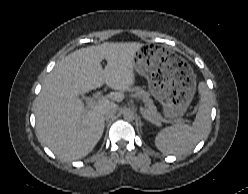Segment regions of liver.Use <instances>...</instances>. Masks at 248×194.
Returning <instances> with one entry per match:
<instances>
[{
	"label": "liver",
	"mask_w": 248,
	"mask_h": 194,
	"mask_svg": "<svg viewBox=\"0 0 248 194\" xmlns=\"http://www.w3.org/2000/svg\"><path fill=\"white\" fill-rule=\"evenodd\" d=\"M142 46L105 42L76 50L56 64L37 98L35 116L39 139L57 157L78 160L93 150L104 131L105 110L117 109L115 101H122L135 83V55ZM104 83L117 92L87 110L80 95Z\"/></svg>",
	"instance_id": "liver-1"
}]
</instances>
